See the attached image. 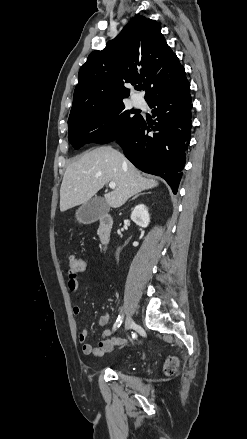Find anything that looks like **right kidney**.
Here are the masks:
<instances>
[{
	"mask_svg": "<svg viewBox=\"0 0 247 439\" xmlns=\"http://www.w3.org/2000/svg\"><path fill=\"white\" fill-rule=\"evenodd\" d=\"M130 218L140 227L146 228L150 222L148 209L144 204H139L131 212Z\"/></svg>",
	"mask_w": 247,
	"mask_h": 439,
	"instance_id": "1",
	"label": "right kidney"
}]
</instances>
